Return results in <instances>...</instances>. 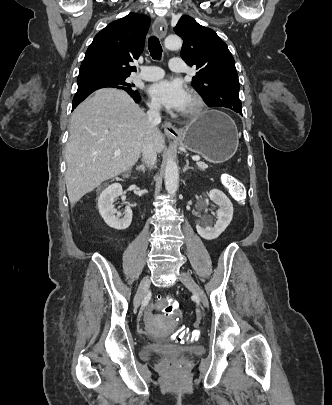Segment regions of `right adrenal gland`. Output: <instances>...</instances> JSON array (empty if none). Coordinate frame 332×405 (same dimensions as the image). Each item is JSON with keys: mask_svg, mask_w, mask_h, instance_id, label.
Returning <instances> with one entry per match:
<instances>
[{"mask_svg": "<svg viewBox=\"0 0 332 405\" xmlns=\"http://www.w3.org/2000/svg\"><path fill=\"white\" fill-rule=\"evenodd\" d=\"M136 169L139 170V171H142L143 173H145V171H146V167L144 166V164H141L140 166H137Z\"/></svg>", "mask_w": 332, "mask_h": 405, "instance_id": "obj_1", "label": "right adrenal gland"}]
</instances>
